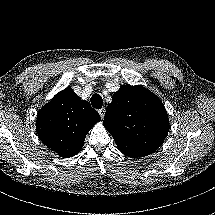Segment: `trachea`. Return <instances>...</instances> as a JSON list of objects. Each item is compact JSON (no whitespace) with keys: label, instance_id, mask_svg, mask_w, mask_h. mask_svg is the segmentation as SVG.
I'll return each instance as SVG.
<instances>
[{"label":"trachea","instance_id":"trachea-1","mask_svg":"<svg viewBox=\"0 0 215 215\" xmlns=\"http://www.w3.org/2000/svg\"><path fill=\"white\" fill-rule=\"evenodd\" d=\"M91 105L95 108V109H101L103 106V99L101 97V95L99 94H94L91 97Z\"/></svg>","mask_w":215,"mask_h":215}]
</instances>
